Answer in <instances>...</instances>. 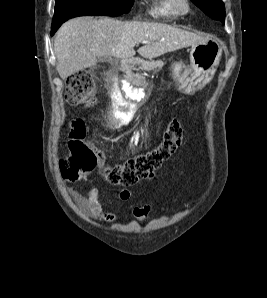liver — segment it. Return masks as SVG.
<instances>
[{
	"mask_svg": "<svg viewBox=\"0 0 267 298\" xmlns=\"http://www.w3.org/2000/svg\"><path fill=\"white\" fill-rule=\"evenodd\" d=\"M195 33L164 23L119 21L109 17H77L66 21L54 41L56 69L62 79L96 64L97 58L127 60L136 44L148 40L137 52L152 59L207 41Z\"/></svg>",
	"mask_w": 267,
	"mask_h": 298,
	"instance_id": "obj_1",
	"label": "liver"
}]
</instances>
